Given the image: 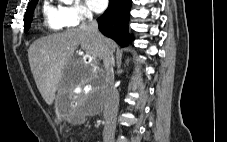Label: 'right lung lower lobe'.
Returning a JSON list of instances; mask_svg holds the SVG:
<instances>
[{
  "instance_id": "98d812e1",
  "label": "right lung lower lobe",
  "mask_w": 227,
  "mask_h": 142,
  "mask_svg": "<svg viewBox=\"0 0 227 142\" xmlns=\"http://www.w3.org/2000/svg\"><path fill=\"white\" fill-rule=\"evenodd\" d=\"M109 1V7L98 18L99 30L121 46H126L132 40V36L128 35V22L132 0Z\"/></svg>"
}]
</instances>
